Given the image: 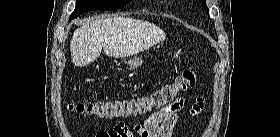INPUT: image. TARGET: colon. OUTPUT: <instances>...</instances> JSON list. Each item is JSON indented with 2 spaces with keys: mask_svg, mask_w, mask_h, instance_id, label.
Returning a JSON list of instances; mask_svg holds the SVG:
<instances>
[{
  "mask_svg": "<svg viewBox=\"0 0 280 137\" xmlns=\"http://www.w3.org/2000/svg\"><path fill=\"white\" fill-rule=\"evenodd\" d=\"M196 84V71L187 69L177 76L172 83L158 88L149 95L126 100L82 102L70 105V109L81 115L106 118L143 115L170 102L178 92L193 89ZM112 136L118 137L115 134ZM128 137H134V135H128Z\"/></svg>",
  "mask_w": 280,
  "mask_h": 137,
  "instance_id": "1",
  "label": "colon"
}]
</instances>
